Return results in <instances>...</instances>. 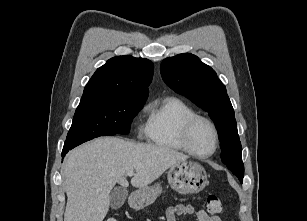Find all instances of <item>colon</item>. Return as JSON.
I'll list each match as a JSON object with an SVG mask.
<instances>
[{"label": "colon", "instance_id": "1", "mask_svg": "<svg viewBox=\"0 0 307 221\" xmlns=\"http://www.w3.org/2000/svg\"><path fill=\"white\" fill-rule=\"evenodd\" d=\"M207 209L208 212H210L213 215L221 214L223 213V204L221 200L213 194L208 195L207 197ZM107 221H117L115 218H109Z\"/></svg>", "mask_w": 307, "mask_h": 221}]
</instances>
